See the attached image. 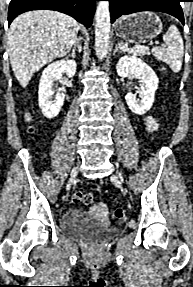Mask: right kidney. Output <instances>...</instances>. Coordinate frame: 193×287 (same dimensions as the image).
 I'll return each instance as SVG.
<instances>
[{"instance_id":"right-kidney-1","label":"right kidney","mask_w":193,"mask_h":287,"mask_svg":"<svg viewBox=\"0 0 193 287\" xmlns=\"http://www.w3.org/2000/svg\"><path fill=\"white\" fill-rule=\"evenodd\" d=\"M76 67L77 64L75 61L62 59L51 63L44 69L39 84L38 102L42 114L46 118L52 119L56 117L65 100V95L59 91L55 96V100L52 101L54 81L61 79L63 73L68 77H73Z\"/></svg>"}]
</instances>
